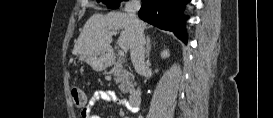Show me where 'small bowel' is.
<instances>
[{"instance_id": "1", "label": "small bowel", "mask_w": 273, "mask_h": 118, "mask_svg": "<svg viewBox=\"0 0 273 118\" xmlns=\"http://www.w3.org/2000/svg\"><path fill=\"white\" fill-rule=\"evenodd\" d=\"M108 102V103H113V102H118L121 105H125V102L123 100L118 99L115 95H113L112 92L108 90H96L91 97L87 100L86 105L82 108L81 115L83 118H94L92 115V110L94 106L100 102ZM133 112H137L138 109L132 108Z\"/></svg>"}]
</instances>
